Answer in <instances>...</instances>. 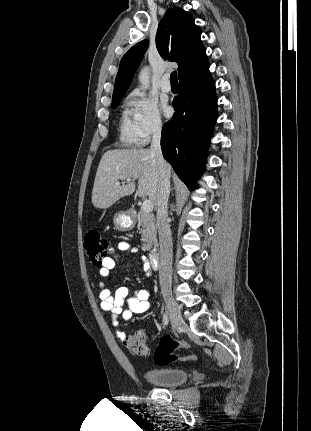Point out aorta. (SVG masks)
<instances>
[{
    "label": "aorta",
    "mask_w": 311,
    "mask_h": 431,
    "mask_svg": "<svg viewBox=\"0 0 311 431\" xmlns=\"http://www.w3.org/2000/svg\"><path fill=\"white\" fill-rule=\"evenodd\" d=\"M138 80L141 84V88H143V90H148L150 84V68H148V66L142 68Z\"/></svg>",
    "instance_id": "obj_1"
}]
</instances>
